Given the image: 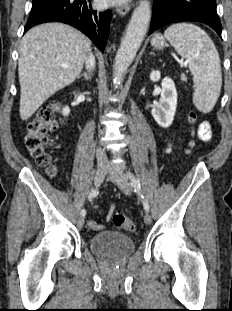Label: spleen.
<instances>
[{"label":"spleen","mask_w":232,"mask_h":311,"mask_svg":"<svg viewBox=\"0 0 232 311\" xmlns=\"http://www.w3.org/2000/svg\"><path fill=\"white\" fill-rule=\"evenodd\" d=\"M177 53L187 58L193 75V103L202 113L215 106L222 86L219 54L209 35L192 23H177L164 32Z\"/></svg>","instance_id":"1"}]
</instances>
